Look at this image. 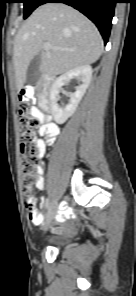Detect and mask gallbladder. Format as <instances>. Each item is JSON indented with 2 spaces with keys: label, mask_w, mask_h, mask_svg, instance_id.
Returning a JSON list of instances; mask_svg holds the SVG:
<instances>
[{
  "label": "gallbladder",
  "mask_w": 136,
  "mask_h": 296,
  "mask_svg": "<svg viewBox=\"0 0 136 296\" xmlns=\"http://www.w3.org/2000/svg\"><path fill=\"white\" fill-rule=\"evenodd\" d=\"M40 66H41V55H36L29 63L26 82L30 84H35L40 78Z\"/></svg>",
  "instance_id": "bac80fb5"
}]
</instances>
